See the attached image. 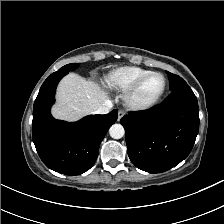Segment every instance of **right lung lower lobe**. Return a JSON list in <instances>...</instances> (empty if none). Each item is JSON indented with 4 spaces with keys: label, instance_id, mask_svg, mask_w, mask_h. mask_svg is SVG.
Wrapping results in <instances>:
<instances>
[{
    "label": "right lung lower lobe",
    "instance_id": "98d812e1",
    "mask_svg": "<svg viewBox=\"0 0 224 224\" xmlns=\"http://www.w3.org/2000/svg\"><path fill=\"white\" fill-rule=\"evenodd\" d=\"M66 72H54L42 84L33 107L32 137L43 163L50 169L79 175L89 170L98 157L99 145L118 117L90 115L78 122L56 120L50 114L58 82Z\"/></svg>",
    "mask_w": 224,
    "mask_h": 224
}]
</instances>
